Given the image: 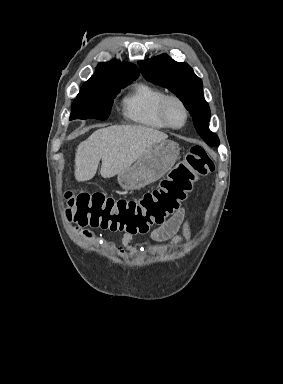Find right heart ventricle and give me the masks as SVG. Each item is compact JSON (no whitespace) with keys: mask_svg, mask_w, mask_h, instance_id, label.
Instances as JSON below:
<instances>
[{"mask_svg":"<svg viewBox=\"0 0 283 384\" xmlns=\"http://www.w3.org/2000/svg\"><path fill=\"white\" fill-rule=\"evenodd\" d=\"M166 93L144 81H136L128 88L121 100L123 116L141 128L164 131L157 110Z\"/></svg>","mask_w":283,"mask_h":384,"instance_id":"right-heart-ventricle-1","label":"right heart ventricle"}]
</instances>
